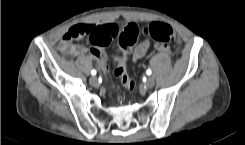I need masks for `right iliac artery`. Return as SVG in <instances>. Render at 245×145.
<instances>
[{
  "label": "right iliac artery",
  "instance_id": "right-iliac-artery-1",
  "mask_svg": "<svg viewBox=\"0 0 245 145\" xmlns=\"http://www.w3.org/2000/svg\"><path fill=\"white\" fill-rule=\"evenodd\" d=\"M91 74H92V75H96V70H92V71H91Z\"/></svg>",
  "mask_w": 245,
  "mask_h": 145
}]
</instances>
